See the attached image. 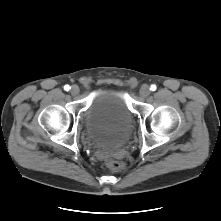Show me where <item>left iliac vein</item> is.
<instances>
[{
	"mask_svg": "<svg viewBox=\"0 0 221 221\" xmlns=\"http://www.w3.org/2000/svg\"><path fill=\"white\" fill-rule=\"evenodd\" d=\"M139 93H140V96H142L144 98L147 97L150 94L149 86L146 85V84L142 85L141 88H140Z\"/></svg>",
	"mask_w": 221,
	"mask_h": 221,
	"instance_id": "1",
	"label": "left iliac vein"
}]
</instances>
